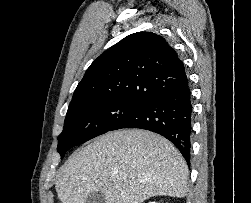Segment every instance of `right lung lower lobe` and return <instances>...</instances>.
<instances>
[{
	"instance_id": "1",
	"label": "right lung lower lobe",
	"mask_w": 251,
	"mask_h": 203,
	"mask_svg": "<svg viewBox=\"0 0 251 203\" xmlns=\"http://www.w3.org/2000/svg\"><path fill=\"white\" fill-rule=\"evenodd\" d=\"M192 113L191 93L186 77L178 85L143 104L137 111L117 123L112 130L139 128L158 133L178 148L189 165Z\"/></svg>"
}]
</instances>
